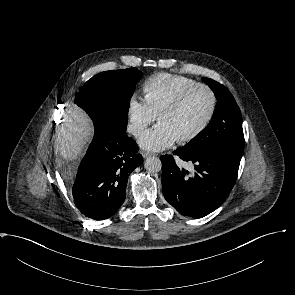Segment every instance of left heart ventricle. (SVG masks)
<instances>
[{"label":"left heart ventricle","instance_id":"left-heart-ventricle-1","mask_svg":"<svg viewBox=\"0 0 295 295\" xmlns=\"http://www.w3.org/2000/svg\"><path fill=\"white\" fill-rule=\"evenodd\" d=\"M210 108L209 93L197 89L178 111L164 116L160 123L168 126L179 139L194 132L207 118Z\"/></svg>","mask_w":295,"mask_h":295}]
</instances>
